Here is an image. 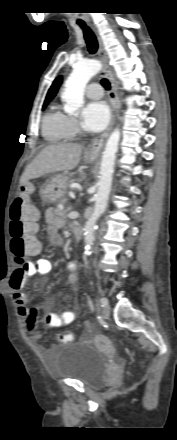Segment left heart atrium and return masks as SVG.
Returning a JSON list of instances; mask_svg holds the SVG:
<instances>
[{"label": "left heart atrium", "instance_id": "1", "mask_svg": "<svg viewBox=\"0 0 177 440\" xmlns=\"http://www.w3.org/2000/svg\"><path fill=\"white\" fill-rule=\"evenodd\" d=\"M109 121V110L104 102L94 101L85 105L81 112V125L89 132L103 130Z\"/></svg>", "mask_w": 177, "mask_h": 440}]
</instances>
